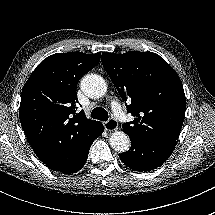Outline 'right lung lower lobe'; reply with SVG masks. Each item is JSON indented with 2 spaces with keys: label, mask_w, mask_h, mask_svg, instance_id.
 Here are the masks:
<instances>
[{
  "label": "right lung lower lobe",
  "mask_w": 215,
  "mask_h": 215,
  "mask_svg": "<svg viewBox=\"0 0 215 215\" xmlns=\"http://www.w3.org/2000/svg\"><path fill=\"white\" fill-rule=\"evenodd\" d=\"M103 131V124L97 121V123L87 129L82 136L75 139L69 151L70 156L65 162L47 166L54 171H60L65 174L79 171L86 163L89 149L93 141L99 137Z\"/></svg>",
  "instance_id": "right-lung-lower-lobe-1"
}]
</instances>
